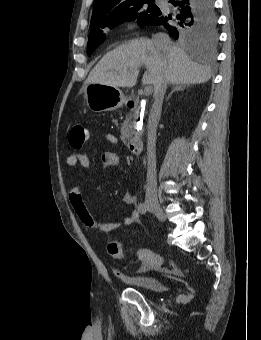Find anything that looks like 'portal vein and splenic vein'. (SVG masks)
Masks as SVG:
<instances>
[{
    "mask_svg": "<svg viewBox=\"0 0 261 340\" xmlns=\"http://www.w3.org/2000/svg\"><path fill=\"white\" fill-rule=\"evenodd\" d=\"M152 92H153V87H152V86H148V87H146L145 90H144V95H145V96H148V95H150Z\"/></svg>",
    "mask_w": 261,
    "mask_h": 340,
    "instance_id": "portal-vein-and-splenic-vein-1",
    "label": "portal vein and splenic vein"
}]
</instances>
